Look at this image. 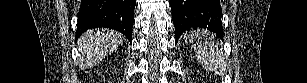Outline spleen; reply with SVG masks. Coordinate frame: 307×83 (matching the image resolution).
<instances>
[{"mask_svg": "<svg viewBox=\"0 0 307 83\" xmlns=\"http://www.w3.org/2000/svg\"><path fill=\"white\" fill-rule=\"evenodd\" d=\"M185 39L194 44L197 60L205 69L218 75L224 74L225 54L212 36L204 31H193L186 35Z\"/></svg>", "mask_w": 307, "mask_h": 83, "instance_id": "spleen-1", "label": "spleen"}]
</instances>
